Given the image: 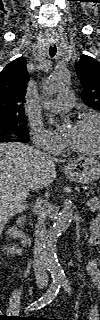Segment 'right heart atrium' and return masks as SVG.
<instances>
[{
	"instance_id": "1",
	"label": "right heart atrium",
	"mask_w": 100,
	"mask_h": 320,
	"mask_svg": "<svg viewBox=\"0 0 100 320\" xmlns=\"http://www.w3.org/2000/svg\"><path fill=\"white\" fill-rule=\"evenodd\" d=\"M31 133L34 143L40 148L51 152H58L63 148V141L40 124L33 123Z\"/></svg>"
}]
</instances>
